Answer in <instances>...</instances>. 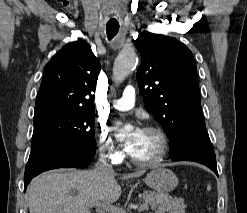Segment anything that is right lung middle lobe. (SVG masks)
<instances>
[{
    "instance_id": "dd1d6c3e",
    "label": "right lung middle lobe",
    "mask_w": 247,
    "mask_h": 213,
    "mask_svg": "<svg viewBox=\"0 0 247 213\" xmlns=\"http://www.w3.org/2000/svg\"><path fill=\"white\" fill-rule=\"evenodd\" d=\"M95 111L47 109L34 113V131L30 156L67 142L72 150H96Z\"/></svg>"
}]
</instances>
